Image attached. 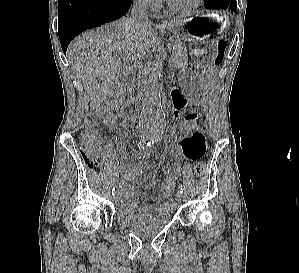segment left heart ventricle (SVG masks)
<instances>
[{
    "label": "left heart ventricle",
    "mask_w": 299,
    "mask_h": 273,
    "mask_svg": "<svg viewBox=\"0 0 299 273\" xmlns=\"http://www.w3.org/2000/svg\"><path fill=\"white\" fill-rule=\"evenodd\" d=\"M170 1L178 7H188L195 2V0H170Z\"/></svg>",
    "instance_id": "obj_1"
}]
</instances>
